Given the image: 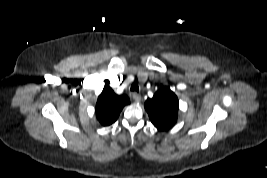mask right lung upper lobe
Listing matches in <instances>:
<instances>
[{
  "instance_id": "right-lung-upper-lobe-1",
  "label": "right lung upper lobe",
  "mask_w": 267,
  "mask_h": 178,
  "mask_svg": "<svg viewBox=\"0 0 267 178\" xmlns=\"http://www.w3.org/2000/svg\"><path fill=\"white\" fill-rule=\"evenodd\" d=\"M130 103L126 95H117L109 85H105L96 104V116L103 126L114 123L123 107Z\"/></svg>"
}]
</instances>
